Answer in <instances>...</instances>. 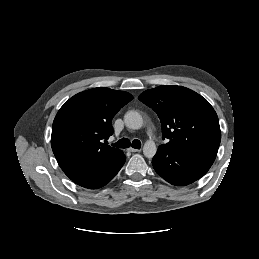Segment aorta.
I'll return each instance as SVG.
<instances>
[{
	"label": "aorta",
	"instance_id": "1",
	"mask_svg": "<svg viewBox=\"0 0 259 259\" xmlns=\"http://www.w3.org/2000/svg\"><path fill=\"white\" fill-rule=\"evenodd\" d=\"M125 125L133 130L140 129L143 126L142 115L137 111H128L124 115ZM157 148L155 142L148 140L143 146L144 156L147 158H152L156 154Z\"/></svg>",
	"mask_w": 259,
	"mask_h": 259
}]
</instances>
